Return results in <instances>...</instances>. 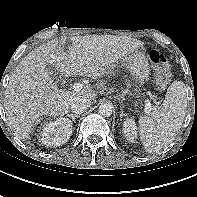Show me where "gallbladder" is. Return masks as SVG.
<instances>
[{
  "mask_svg": "<svg viewBox=\"0 0 197 197\" xmlns=\"http://www.w3.org/2000/svg\"><path fill=\"white\" fill-rule=\"evenodd\" d=\"M46 71H47L49 74L53 75L54 72H55V68H54V66H52V65H48V66L46 67Z\"/></svg>",
  "mask_w": 197,
  "mask_h": 197,
  "instance_id": "1",
  "label": "gallbladder"
}]
</instances>
